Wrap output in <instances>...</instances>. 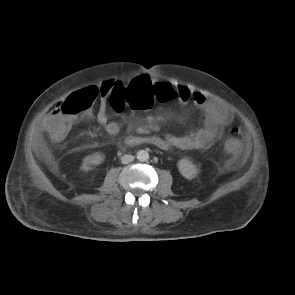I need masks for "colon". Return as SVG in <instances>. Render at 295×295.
Segmentation results:
<instances>
[{
  "instance_id": "5ec220e1",
  "label": "colon",
  "mask_w": 295,
  "mask_h": 295,
  "mask_svg": "<svg viewBox=\"0 0 295 295\" xmlns=\"http://www.w3.org/2000/svg\"><path fill=\"white\" fill-rule=\"evenodd\" d=\"M104 93L111 105L123 109L127 103L131 110H153L156 102H170L175 96L171 85L160 84L144 87H125L121 83L108 82ZM98 91L94 87L76 91L59 102L55 107L56 117L48 129L55 141L63 140L70 132L76 119L89 111L97 99ZM241 135L237 128H228L225 132V149L234 155L241 150Z\"/></svg>"
}]
</instances>
